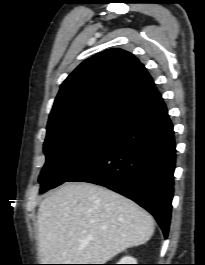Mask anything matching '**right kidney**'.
Segmentation results:
<instances>
[{"mask_svg":"<svg viewBox=\"0 0 205 265\" xmlns=\"http://www.w3.org/2000/svg\"><path fill=\"white\" fill-rule=\"evenodd\" d=\"M118 264H137L136 259L131 256L123 257Z\"/></svg>","mask_w":205,"mask_h":265,"instance_id":"obj_1","label":"right kidney"}]
</instances>
